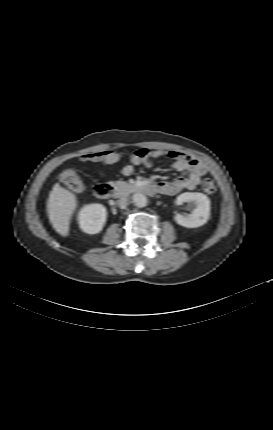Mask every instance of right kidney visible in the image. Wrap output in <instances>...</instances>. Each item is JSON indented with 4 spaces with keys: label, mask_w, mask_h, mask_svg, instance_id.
I'll return each mask as SVG.
<instances>
[{
    "label": "right kidney",
    "mask_w": 273,
    "mask_h": 430,
    "mask_svg": "<svg viewBox=\"0 0 273 430\" xmlns=\"http://www.w3.org/2000/svg\"><path fill=\"white\" fill-rule=\"evenodd\" d=\"M106 216L107 212L103 205L98 203L86 205L78 216L80 228L88 234L99 233L106 222Z\"/></svg>",
    "instance_id": "right-kidney-1"
}]
</instances>
